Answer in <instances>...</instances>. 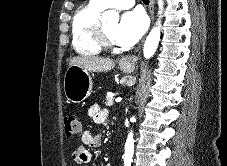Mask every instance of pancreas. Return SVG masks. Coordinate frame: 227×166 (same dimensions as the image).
<instances>
[{"label":"pancreas","mask_w":227,"mask_h":166,"mask_svg":"<svg viewBox=\"0 0 227 166\" xmlns=\"http://www.w3.org/2000/svg\"><path fill=\"white\" fill-rule=\"evenodd\" d=\"M113 104H114V97H112V96H107V97H106L105 105H106V106H112Z\"/></svg>","instance_id":"pancreas-1"}]
</instances>
